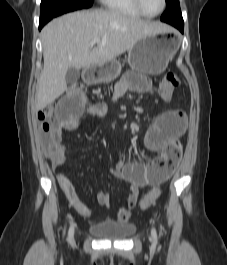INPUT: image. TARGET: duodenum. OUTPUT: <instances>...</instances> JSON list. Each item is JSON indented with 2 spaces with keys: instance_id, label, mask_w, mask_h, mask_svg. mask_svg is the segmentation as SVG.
Returning <instances> with one entry per match:
<instances>
[{
  "instance_id": "1",
  "label": "duodenum",
  "mask_w": 227,
  "mask_h": 265,
  "mask_svg": "<svg viewBox=\"0 0 227 265\" xmlns=\"http://www.w3.org/2000/svg\"><path fill=\"white\" fill-rule=\"evenodd\" d=\"M84 79L86 82H89V83L92 82L94 79L93 73L91 71H87L84 75Z\"/></svg>"
}]
</instances>
